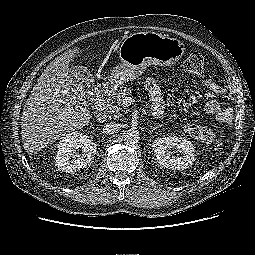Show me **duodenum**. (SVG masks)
Segmentation results:
<instances>
[{
	"mask_svg": "<svg viewBox=\"0 0 255 255\" xmlns=\"http://www.w3.org/2000/svg\"><path fill=\"white\" fill-rule=\"evenodd\" d=\"M112 86L108 82L100 84L96 90L94 96V117L99 122H103L107 119V113L103 107V103L108 95L111 93Z\"/></svg>",
	"mask_w": 255,
	"mask_h": 255,
	"instance_id": "1",
	"label": "duodenum"
}]
</instances>
